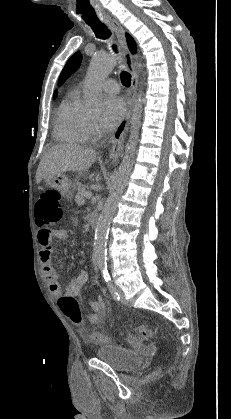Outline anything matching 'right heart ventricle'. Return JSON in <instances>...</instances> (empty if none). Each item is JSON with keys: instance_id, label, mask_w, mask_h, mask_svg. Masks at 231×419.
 <instances>
[{"instance_id": "obj_1", "label": "right heart ventricle", "mask_w": 231, "mask_h": 419, "mask_svg": "<svg viewBox=\"0 0 231 419\" xmlns=\"http://www.w3.org/2000/svg\"><path fill=\"white\" fill-rule=\"evenodd\" d=\"M90 120L82 110L79 96L70 93L57 109L54 136L69 144H83L89 139Z\"/></svg>"}]
</instances>
